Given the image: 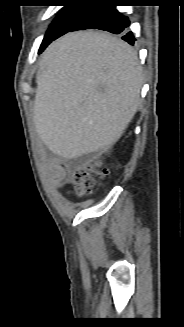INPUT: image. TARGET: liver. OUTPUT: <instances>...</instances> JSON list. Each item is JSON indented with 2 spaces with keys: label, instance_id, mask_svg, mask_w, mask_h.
<instances>
[{
  "label": "liver",
  "instance_id": "obj_1",
  "mask_svg": "<svg viewBox=\"0 0 184 327\" xmlns=\"http://www.w3.org/2000/svg\"><path fill=\"white\" fill-rule=\"evenodd\" d=\"M143 77L137 53L108 33H70L51 43L36 77L33 121L56 155L105 151L135 115Z\"/></svg>",
  "mask_w": 184,
  "mask_h": 327
}]
</instances>
